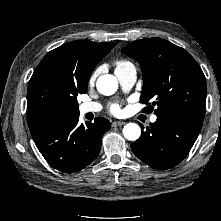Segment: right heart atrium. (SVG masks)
<instances>
[{"mask_svg":"<svg viewBox=\"0 0 221 221\" xmlns=\"http://www.w3.org/2000/svg\"><path fill=\"white\" fill-rule=\"evenodd\" d=\"M97 73H98V71L95 70V71L91 74V76H90V78H89V83H90V84L93 83V82L96 80Z\"/></svg>","mask_w":221,"mask_h":221,"instance_id":"1","label":"right heart atrium"}]
</instances>
